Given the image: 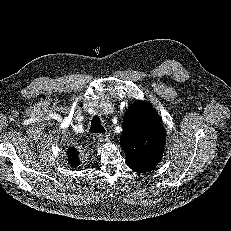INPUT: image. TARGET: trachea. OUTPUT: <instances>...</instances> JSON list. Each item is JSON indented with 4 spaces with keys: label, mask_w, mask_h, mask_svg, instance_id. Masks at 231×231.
I'll return each instance as SVG.
<instances>
[{
    "label": "trachea",
    "mask_w": 231,
    "mask_h": 231,
    "mask_svg": "<svg viewBox=\"0 0 231 231\" xmlns=\"http://www.w3.org/2000/svg\"><path fill=\"white\" fill-rule=\"evenodd\" d=\"M89 132L91 133H104L105 132V128L102 125L99 116L96 115L93 117Z\"/></svg>",
    "instance_id": "obj_1"
}]
</instances>
